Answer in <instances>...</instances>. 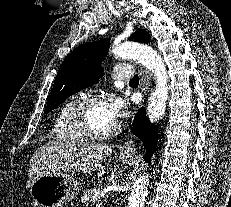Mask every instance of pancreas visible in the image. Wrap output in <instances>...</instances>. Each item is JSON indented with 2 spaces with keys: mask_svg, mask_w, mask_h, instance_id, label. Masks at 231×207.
<instances>
[{
  "mask_svg": "<svg viewBox=\"0 0 231 207\" xmlns=\"http://www.w3.org/2000/svg\"><path fill=\"white\" fill-rule=\"evenodd\" d=\"M103 193L102 188H91L83 193V196L81 198V202L88 206L90 204L99 203L102 199L101 195Z\"/></svg>",
  "mask_w": 231,
  "mask_h": 207,
  "instance_id": "obj_1",
  "label": "pancreas"
}]
</instances>
